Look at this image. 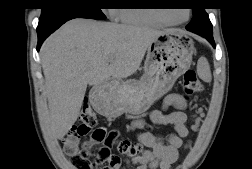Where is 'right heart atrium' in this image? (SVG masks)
<instances>
[{
    "mask_svg": "<svg viewBox=\"0 0 252 169\" xmlns=\"http://www.w3.org/2000/svg\"><path fill=\"white\" fill-rule=\"evenodd\" d=\"M115 11H116V9H108V10H107L108 15H109L110 18L116 19Z\"/></svg>",
    "mask_w": 252,
    "mask_h": 169,
    "instance_id": "d8ad5b80",
    "label": "right heart atrium"
}]
</instances>
